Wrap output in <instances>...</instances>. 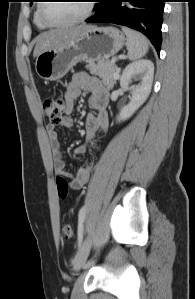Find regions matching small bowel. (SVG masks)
I'll use <instances>...</instances> for the list:
<instances>
[{
	"mask_svg": "<svg viewBox=\"0 0 195 299\" xmlns=\"http://www.w3.org/2000/svg\"><path fill=\"white\" fill-rule=\"evenodd\" d=\"M84 92L90 94V105L95 110V113L89 114L85 121L86 137L88 140H91L97 133L104 131L108 126V113L106 110L108 90L96 78L83 72L76 73L73 76L72 81L66 87L64 100L65 113L67 115H70L74 111L75 101ZM59 125L66 129H72L73 120L70 117L65 116L62 118ZM55 128V124H48L46 127L55 173L59 176L68 178L71 189H81L90 180L93 172V164L90 163L79 170L78 174L74 177L68 173L62 157L59 135ZM85 151L86 147L80 146L75 149V154L82 155Z\"/></svg>",
	"mask_w": 195,
	"mask_h": 299,
	"instance_id": "obj_1",
	"label": "small bowel"
}]
</instances>
